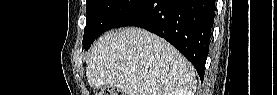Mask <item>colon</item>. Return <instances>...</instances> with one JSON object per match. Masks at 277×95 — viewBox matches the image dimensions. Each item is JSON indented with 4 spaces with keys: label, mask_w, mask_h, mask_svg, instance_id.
I'll use <instances>...</instances> for the list:
<instances>
[{
    "label": "colon",
    "mask_w": 277,
    "mask_h": 95,
    "mask_svg": "<svg viewBox=\"0 0 277 95\" xmlns=\"http://www.w3.org/2000/svg\"><path fill=\"white\" fill-rule=\"evenodd\" d=\"M116 95L119 94L113 87H105L102 89H96L95 95Z\"/></svg>",
    "instance_id": "obj_1"
}]
</instances>
